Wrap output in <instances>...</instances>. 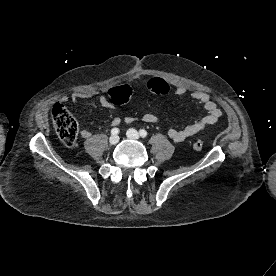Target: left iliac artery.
<instances>
[{"instance_id": "1", "label": "left iliac artery", "mask_w": 276, "mask_h": 276, "mask_svg": "<svg viewBox=\"0 0 276 276\" xmlns=\"http://www.w3.org/2000/svg\"><path fill=\"white\" fill-rule=\"evenodd\" d=\"M139 134L142 138H145L147 136V131L144 129H140Z\"/></svg>"}]
</instances>
